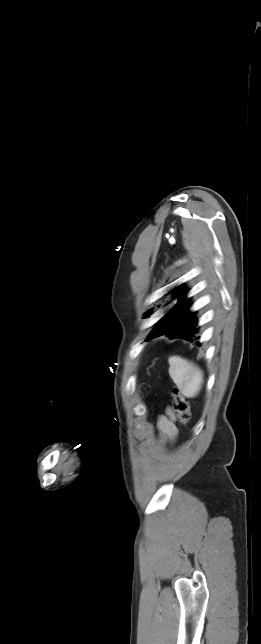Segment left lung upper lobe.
Masks as SVG:
<instances>
[{
    "label": "left lung upper lobe",
    "instance_id": "left-lung-upper-lobe-1",
    "mask_svg": "<svg viewBox=\"0 0 261 644\" xmlns=\"http://www.w3.org/2000/svg\"><path fill=\"white\" fill-rule=\"evenodd\" d=\"M175 288L174 290H176ZM187 291L183 288L180 291H177V294L173 298H177L178 301L175 306L156 323L155 329L148 336V340L161 335H168L172 331L177 330L178 328L189 323L195 316V313L188 311L189 299H185ZM151 310L145 314V317L151 315Z\"/></svg>",
    "mask_w": 261,
    "mask_h": 644
}]
</instances>
